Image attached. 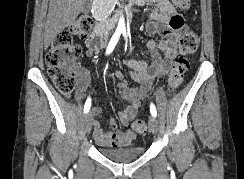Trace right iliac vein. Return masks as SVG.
Masks as SVG:
<instances>
[{
  "mask_svg": "<svg viewBox=\"0 0 244 179\" xmlns=\"http://www.w3.org/2000/svg\"><path fill=\"white\" fill-rule=\"evenodd\" d=\"M92 122H93V113L92 111L88 112L83 118V127L87 133H90L92 130Z\"/></svg>",
  "mask_w": 244,
  "mask_h": 179,
  "instance_id": "63e3f726",
  "label": "right iliac vein"
}]
</instances>
